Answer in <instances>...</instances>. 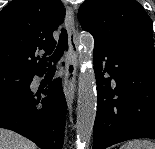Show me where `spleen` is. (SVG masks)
<instances>
[{"instance_id": "3e777b00", "label": "spleen", "mask_w": 155, "mask_h": 149, "mask_svg": "<svg viewBox=\"0 0 155 149\" xmlns=\"http://www.w3.org/2000/svg\"><path fill=\"white\" fill-rule=\"evenodd\" d=\"M119 149H155V143L149 140H132L121 145Z\"/></svg>"}]
</instances>
